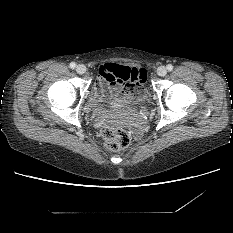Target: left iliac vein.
Returning <instances> with one entry per match:
<instances>
[{"label": "left iliac vein", "instance_id": "4c4485c4", "mask_svg": "<svg viewBox=\"0 0 233 233\" xmlns=\"http://www.w3.org/2000/svg\"><path fill=\"white\" fill-rule=\"evenodd\" d=\"M157 74H158L159 76H165V75L167 74V69H166V67H165V66H160V67H158V69H157Z\"/></svg>", "mask_w": 233, "mask_h": 233}]
</instances>
